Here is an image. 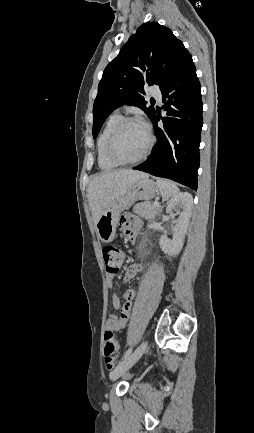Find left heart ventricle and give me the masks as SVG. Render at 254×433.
Listing matches in <instances>:
<instances>
[{
    "label": "left heart ventricle",
    "instance_id": "left-heart-ventricle-1",
    "mask_svg": "<svg viewBox=\"0 0 254 433\" xmlns=\"http://www.w3.org/2000/svg\"><path fill=\"white\" fill-rule=\"evenodd\" d=\"M147 142L145 128L139 123H129L119 132L115 140L114 152L121 159H134L143 152Z\"/></svg>",
    "mask_w": 254,
    "mask_h": 433
}]
</instances>
